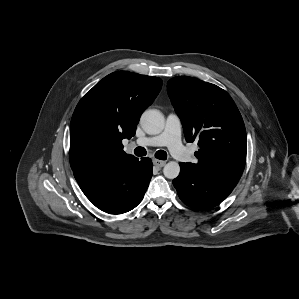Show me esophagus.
Wrapping results in <instances>:
<instances>
[{"mask_svg":"<svg viewBox=\"0 0 299 299\" xmlns=\"http://www.w3.org/2000/svg\"><path fill=\"white\" fill-rule=\"evenodd\" d=\"M153 164L157 167H163L166 164V161L153 159Z\"/></svg>","mask_w":299,"mask_h":299,"instance_id":"34e87169","label":"esophagus"}]
</instances>
